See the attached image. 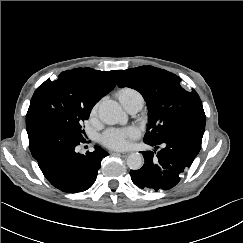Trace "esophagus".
Here are the masks:
<instances>
[{
	"label": "esophagus",
	"mask_w": 243,
	"mask_h": 243,
	"mask_svg": "<svg viewBox=\"0 0 243 243\" xmlns=\"http://www.w3.org/2000/svg\"><path fill=\"white\" fill-rule=\"evenodd\" d=\"M121 157H127L129 155V152H116Z\"/></svg>",
	"instance_id": "obj_1"
}]
</instances>
